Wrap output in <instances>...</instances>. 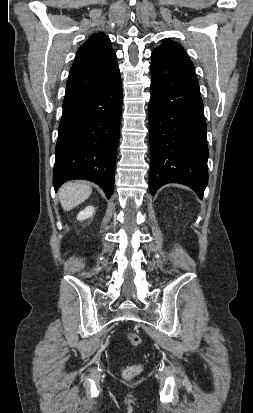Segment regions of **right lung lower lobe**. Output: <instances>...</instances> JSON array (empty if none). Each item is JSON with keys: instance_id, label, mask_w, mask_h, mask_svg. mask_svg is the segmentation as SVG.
<instances>
[{"instance_id": "98d812e1", "label": "right lung lower lobe", "mask_w": 253, "mask_h": 413, "mask_svg": "<svg viewBox=\"0 0 253 413\" xmlns=\"http://www.w3.org/2000/svg\"><path fill=\"white\" fill-rule=\"evenodd\" d=\"M121 111L119 68L99 87L63 102L53 170L55 190L68 180L85 179L98 184L110 198Z\"/></svg>"}]
</instances>
